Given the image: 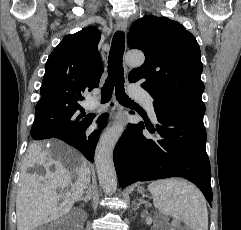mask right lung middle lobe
I'll list each match as a JSON object with an SVG mask.
<instances>
[{
	"mask_svg": "<svg viewBox=\"0 0 241 230\" xmlns=\"http://www.w3.org/2000/svg\"><path fill=\"white\" fill-rule=\"evenodd\" d=\"M88 119L80 105L52 107L37 111V121L49 131L72 132L78 130ZM33 139L40 140L33 135Z\"/></svg>",
	"mask_w": 241,
	"mask_h": 230,
	"instance_id": "dd1d6c3e",
	"label": "right lung middle lobe"
}]
</instances>
